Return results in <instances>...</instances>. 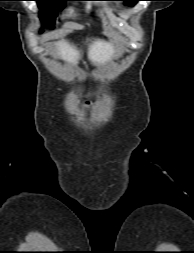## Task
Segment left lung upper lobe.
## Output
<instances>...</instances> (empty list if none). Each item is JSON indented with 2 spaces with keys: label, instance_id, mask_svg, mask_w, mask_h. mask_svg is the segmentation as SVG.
I'll return each instance as SVG.
<instances>
[{
  "label": "left lung upper lobe",
  "instance_id": "left-lung-upper-lobe-1",
  "mask_svg": "<svg viewBox=\"0 0 194 253\" xmlns=\"http://www.w3.org/2000/svg\"><path fill=\"white\" fill-rule=\"evenodd\" d=\"M125 2V4L129 5V6H134L138 1L141 0H122Z\"/></svg>",
  "mask_w": 194,
  "mask_h": 253
}]
</instances>
